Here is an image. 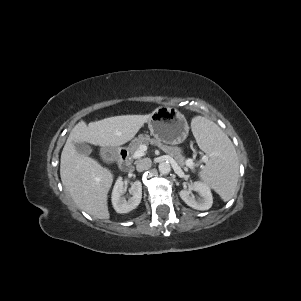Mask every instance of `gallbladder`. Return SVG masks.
<instances>
[{
  "mask_svg": "<svg viewBox=\"0 0 301 301\" xmlns=\"http://www.w3.org/2000/svg\"><path fill=\"white\" fill-rule=\"evenodd\" d=\"M74 146L80 155L89 156L91 154V148L86 143H74Z\"/></svg>",
  "mask_w": 301,
  "mask_h": 301,
  "instance_id": "1",
  "label": "gallbladder"
}]
</instances>
